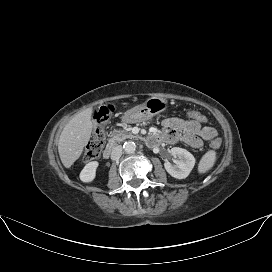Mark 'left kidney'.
Instances as JSON below:
<instances>
[{
	"instance_id": "left-kidney-1",
	"label": "left kidney",
	"mask_w": 272,
	"mask_h": 272,
	"mask_svg": "<svg viewBox=\"0 0 272 272\" xmlns=\"http://www.w3.org/2000/svg\"><path fill=\"white\" fill-rule=\"evenodd\" d=\"M171 154L177 159L173 160L174 164L168 161L164 163L166 171L174 178L185 179L194 168V156L186 149L179 147H173Z\"/></svg>"
}]
</instances>
